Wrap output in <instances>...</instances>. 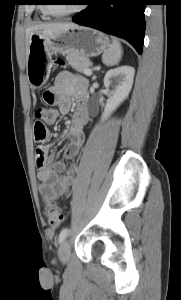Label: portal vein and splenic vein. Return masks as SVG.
Instances as JSON below:
<instances>
[{
  "instance_id": "portal-vein-and-splenic-vein-1",
  "label": "portal vein and splenic vein",
  "mask_w": 181,
  "mask_h": 300,
  "mask_svg": "<svg viewBox=\"0 0 181 300\" xmlns=\"http://www.w3.org/2000/svg\"><path fill=\"white\" fill-rule=\"evenodd\" d=\"M85 75L87 76H91L92 75V71L90 69H86L84 72Z\"/></svg>"
}]
</instances>
